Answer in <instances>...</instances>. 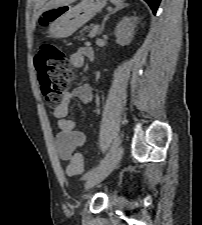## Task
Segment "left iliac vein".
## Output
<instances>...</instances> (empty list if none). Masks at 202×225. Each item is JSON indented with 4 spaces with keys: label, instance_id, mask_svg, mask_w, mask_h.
Instances as JSON below:
<instances>
[{
    "label": "left iliac vein",
    "instance_id": "obj_1",
    "mask_svg": "<svg viewBox=\"0 0 202 225\" xmlns=\"http://www.w3.org/2000/svg\"><path fill=\"white\" fill-rule=\"evenodd\" d=\"M122 156H123V147L119 146L111 155L110 160L99 172V174L87 181L86 188L87 189L92 188L93 186L103 181L117 167L120 160L122 159Z\"/></svg>",
    "mask_w": 202,
    "mask_h": 225
}]
</instances>
